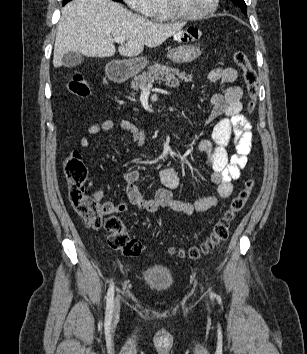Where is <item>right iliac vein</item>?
Listing matches in <instances>:
<instances>
[{
    "instance_id": "1",
    "label": "right iliac vein",
    "mask_w": 307,
    "mask_h": 354,
    "mask_svg": "<svg viewBox=\"0 0 307 354\" xmlns=\"http://www.w3.org/2000/svg\"><path fill=\"white\" fill-rule=\"evenodd\" d=\"M120 311V301L119 298L117 297L114 302V309H113V316L116 318L119 315Z\"/></svg>"
}]
</instances>
